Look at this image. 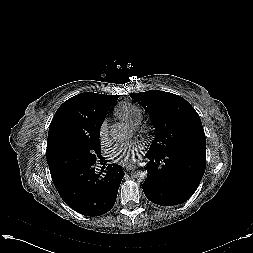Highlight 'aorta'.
<instances>
[{"label":"aorta","instance_id":"aorta-1","mask_svg":"<svg viewBox=\"0 0 253 253\" xmlns=\"http://www.w3.org/2000/svg\"><path fill=\"white\" fill-rule=\"evenodd\" d=\"M110 135L114 140L125 141L132 137V131L130 127L125 123H116L112 125L110 129ZM132 179L137 182H142L147 177V170L137 169L131 173Z\"/></svg>","mask_w":253,"mask_h":253}]
</instances>
